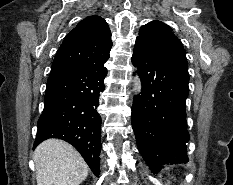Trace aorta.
Returning a JSON list of instances; mask_svg holds the SVG:
<instances>
[{"instance_id": "1", "label": "aorta", "mask_w": 233, "mask_h": 185, "mask_svg": "<svg viewBox=\"0 0 233 185\" xmlns=\"http://www.w3.org/2000/svg\"><path fill=\"white\" fill-rule=\"evenodd\" d=\"M134 90L138 94L142 90V83L138 76H136L133 80Z\"/></svg>"}]
</instances>
